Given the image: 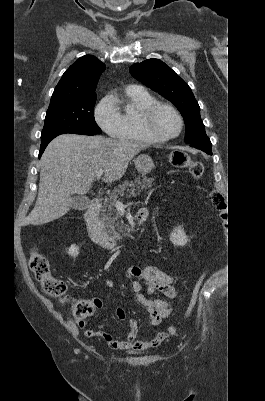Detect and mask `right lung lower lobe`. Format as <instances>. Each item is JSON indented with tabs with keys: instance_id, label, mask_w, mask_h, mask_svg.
<instances>
[{
	"instance_id": "obj_1",
	"label": "right lung lower lobe",
	"mask_w": 265,
	"mask_h": 401,
	"mask_svg": "<svg viewBox=\"0 0 265 401\" xmlns=\"http://www.w3.org/2000/svg\"><path fill=\"white\" fill-rule=\"evenodd\" d=\"M50 141H51V140H50ZM50 141H47V142H45V143H41L40 152H39V158L41 157L42 153L44 152L46 146L48 145V143H49Z\"/></svg>"
}]
</instances>
